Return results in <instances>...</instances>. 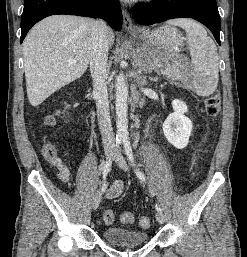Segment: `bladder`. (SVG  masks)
Here are the masks:
<instances>
[{
    "label": "bladder",
    "mask_w": 247,
    "mask_h": 257,
    "mask_svg": "<svg viewBox=\"0 0 247 257\" xmlns=\"http://www.w3.org/2000/svg\"><path fill=\"white\" fill-rule=\"evenodd\" d=\"M104 240L115 246H136L145 244L149 234L121 227H107L102 231Z\"/></svg>",
    "instance_id": "obj_1"
}]
</instances>
